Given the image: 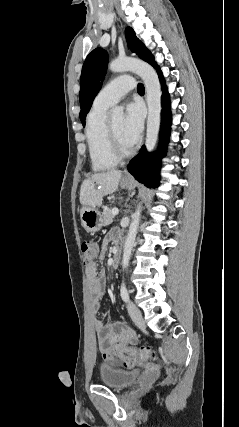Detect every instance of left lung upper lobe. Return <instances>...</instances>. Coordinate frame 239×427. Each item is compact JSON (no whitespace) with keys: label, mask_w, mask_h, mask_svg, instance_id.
Listing matches in <instances>:
<instances>
[{"label":"left lung upper lobe","mask_w":239,"mask_h":427,"mask_svg":"<svg viewBox=\"0 0 239 427\" xmlns=\"http://www.w3.org/2000/svg\"><path fill=\"white\" fill-rule=\"evenodd\" d=\"M126 40L132 52L139 55L140 58L147 61L152 66L156 67L157 63L154 60L151 52L141 43L136 37L134 30L131 27L125 29ZM108 54L102 48L94 49L87 56L81 73L80 86V120L85 125L86 115L91 108L92 101L102 87V81L107 71Z\"/></svg>","instance_id":"1"}]
</instances>
